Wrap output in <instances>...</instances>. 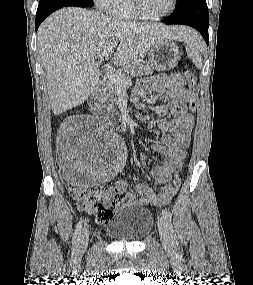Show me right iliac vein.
Returning <instances> with one entry per match:
<instances>
[{
  "label": "right iliac vein",
  "instance_id": "obj_1",
  "mask_svg": "<svg viewBox=\"0 0 253 285\" xmlns=\"http://www.w3.org/2000/svg\"><path fill=\"white\" fill-rule=\"evenodd\" d=\"M88 241H89V231L88 229H83L80 240H79V244L77 247V251L78 253H83L87 246H88Z\"/></svg>",
  "mask_w": 253,
  "mask_h": 285
}]
</instances>
